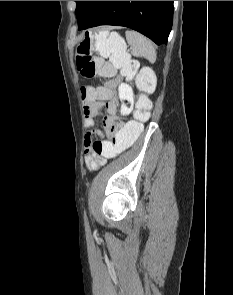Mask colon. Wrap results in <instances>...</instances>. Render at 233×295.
<instances>
[{"label":"colon","mask_w":233,"mask_h":295,"mask_svg":"<svg viewBox=\"0 0 233 295\" xmlns=\"http://www.w3.org/2000/svg\"><path fill=\"white\" fill-rule=\"evenodd\" d=\"M100 58L94 56V52ZM76 65L80 74L86 78L96 76L110 77L120 71L126 78H131L137 71L138 64L131 59L125 51L124 43L120 36L112 32L87 33L76 49ZM104 92L103 86H83L81 96L93 98ZM151 115V103L145 96H140L134 119L122 128L111 127L108 130L110 141L93 139V151L107 158H114L130 148L141 136L144 124Z\"/></svg>","instance_id":"obj_1"}]
</instances>
